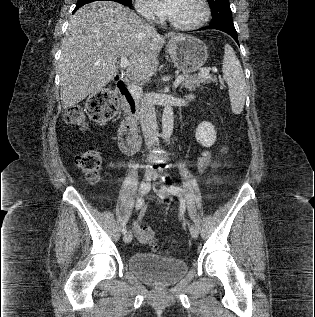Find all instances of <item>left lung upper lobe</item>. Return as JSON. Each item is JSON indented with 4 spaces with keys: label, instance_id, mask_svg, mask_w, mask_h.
Masks as SVG:
<instances>
[{
    "label": "left lung upper lobe",
    "instance_id": "obj_1",
    "mask_svg": "<svg viewBox=\"0 0 315 317\" xmlns=\"http://www.w3.org/2000/svg\"><path fill=\"white\" fill-rule=\"evenodd\" d=\"M211 11V25L219 26H234L232 21V12L229 5V0H207Z\"/></svg>",
    "mask_w": 315,
    "mask_h": 317
}]
</instances>
